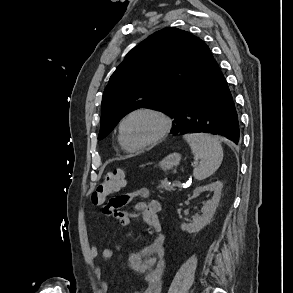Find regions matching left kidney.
Wrapping results in <instances>:
<instances>
[{"mask_svg":"<svg viewBox=\"0 0 293 293\" xmlns=\"http://www.w3.org/2000/svg\"><path fill=\"white\" fill-rule=\"evenodd\" d=\"M223 188V184L221 181H216L211 184L197 187L194 190V194H199L204 191H213L214 195L210 202L204 205L201 209V215L196 214L193 217V221L189 224L182 223L181 230L186 231L188 233H196L202 230L206 225L211 222V219L218 207L220 198H221V191Z\"/></svg>","mask_w":293,"mask_h":293,"instance_id":"5707ae66","label":"left kidney"}]
</instances>
